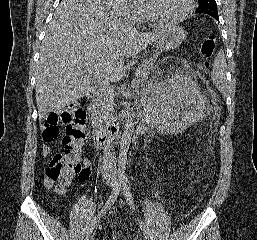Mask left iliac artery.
Returning <instances> with one entry per match:
<instances>
[{"instance_id": "obj_1", "label": "left iliac artery", "mask_w": 257, "mask_h": 240, "mask_svg": "<svg viewBox=\"0 0 257 240\" xmlns=\"http://www.w3.org/2000/svg\"><path fill=\"white\" fill-rule=\"evenodd\" d=\"M124 195H125L128 205L134 210L135 209L134 200H133L132 194L130 192V189L126 183L124 184ZM138 221H139L140 228H141L146 240H148L149 234H148L145 224L140 219H138Z\"/></svg>"}]
</instances>
